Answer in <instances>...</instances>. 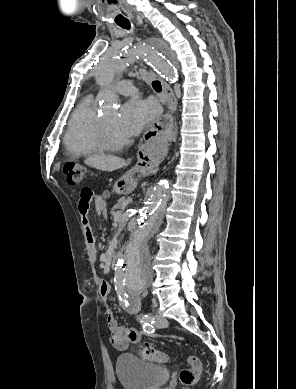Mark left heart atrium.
I'll return each instance as SVG.
<instances>
[{
    "label": "left heart atrium",
    "mask_w": 296,
    "mask_h": 389,
    "mask_svg": "<svg viewBox=\"0 0 296 389\" xmlns=\"http://www.w3.org/2000/svg\"><path fill=\"white\" fill-rule=\"evenodd\" d=\"M158 114L156 105L151 101L131 99L122 107L117 125L127 137L139 134Z\"/></svg>",
    "instance_id": "obj_1"
}]
</instances>
